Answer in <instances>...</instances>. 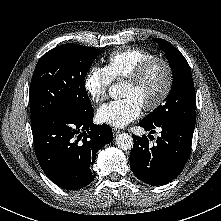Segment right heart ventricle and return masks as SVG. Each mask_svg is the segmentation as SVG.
<instances>
[{"instance_id": "obj_1", "label": "right heart ventricle", "mask_w": 221, "mask_h": 221, "mask_svg": "<svg viewBox=\"0 0 221 221\" xmlns=\"http://www.w3.org/2000/svg\"><path fill=\"white\" fill-rule=\"evenodd\" d=\"M153 57L156 54L144 48L118 50L109 55L107 68L112 80H126L142 63Z\"/></svg>"}]
</instances>
